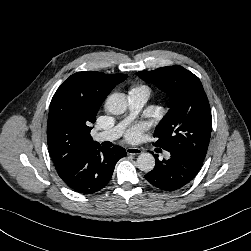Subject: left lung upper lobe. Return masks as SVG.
<instances>
[{"label":"left lung upper lobe","mask_w":251,"mask_h":251,"mask_svg":"<svg viewBox=\"0 0 251 251\" xmlns=\"http://www.w3.org/2000/svg\"><path fill=\"white\" fill-rule=\"evenodd\" d=\"M138 76L170 96V109L154 131L155 146L169 152L186 151L204 160L211 135L208 98L199 78L182 66L140 71Z\"/></svg>","instance_id":"5c2ea615"}]
</instances>
